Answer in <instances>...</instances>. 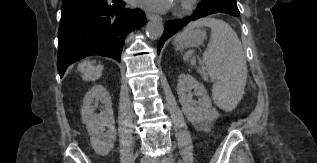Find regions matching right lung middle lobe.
Here are the masks:
<instances>
[{"instance_id": "dd1d6c3e", "label": "right lung middle lobe", "mask_w": 317, "mask_h": 163, "mask_svg": "<svg viewBox=\"0 0 317 163\" xmlns=\"http://www.w3.org/2000/svg\"><path fill=\"white\" fill-rule=\"evenodd\" d=\"M74 1H76V0H72V1H69V2H74ZM69 2H63V4H65V3H69Z\"/></svg>"}]
</instances>
